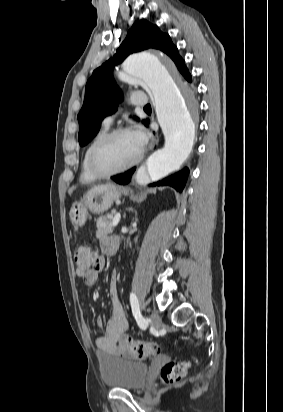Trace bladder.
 I'll use <instances>...</instances> for the list:
<instances>
[{
	"label": "bladder",
	"instance_id": "1",
	"mask_svg": "<svg viewBox=\"0 0 283 412\" xmlns=\"http://www.w3.org/2000/svg\"><path fill=\"white\" fill-rule=\"evenodd\" d=\"M99 369L106 387L130 391L143 388L149 373V366L145 362L115 357L101 358Z\"/></svg>",
	"mask_w": 283,
	"mask_h": 412
}]
</instances>
